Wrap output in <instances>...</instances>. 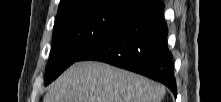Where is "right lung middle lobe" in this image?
Returning a JSON list of instances; mask_svg holds the SVG:
<instances>
[{
    "mask_svg": "<svg viewBox=\"0 0 221 102\" xmlns=\"http://www.w3.org/2000/svg\"><path fill=\"white\" fill-rule=\"evenodd\" d=\"M138 12L124 0H88L57 14L45 85Z\"/></svg>",
    "mask_w": 221,
    "mask_h": 102,
    "instance_id": "obj_1",
    "label": "right lung middle lobe"
}]
</instances>
